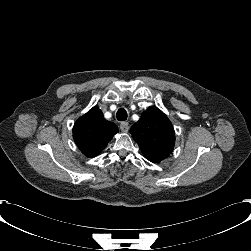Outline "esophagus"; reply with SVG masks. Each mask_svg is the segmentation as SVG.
<instances>
[{
	"instance_id": "34e87169",
	"label": "esophagus",
	"mask_w": 251,
	"mask_h": 251,
	"mask_svg": "<svg viewBox=\"0 0 251 251\" xmlns=\"http://www.w3.org/2000/svg\"><path fill=\"white\" fill-rule=\"evenodd\" d=\"M120 129H121L122 132L126 133L129 130L128 122H122L120 124Z\"/></svg>"
}]
</instances>
